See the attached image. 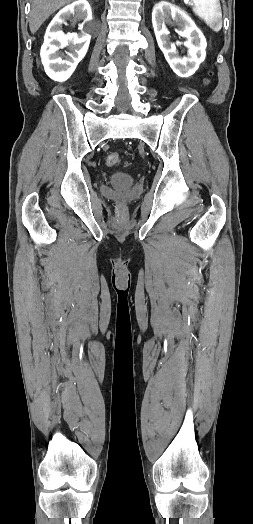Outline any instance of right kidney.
<instances>
[{
	"label": "right kidney",
	"instance_id": "1",
	"mask_svg": "<svg viewBox=\"0 0 253 524\" xmlns=\"http://www.w3.org/2000/svg\"><path fill=\"white\" fill-rule=\"evenodd\" d=\"M71 17L82 20L81 32L64 34L62 24ZM92 20V11L86 0H78L63 8L49 24L44 44L41 47V60L46 74L53 80L66 81L87 53L91 36L88 23ZM67 47L66 55L60 49Z\"/></svg>",
	"mask_w": 253,
	"mask_h": 524
}]
</instances>
